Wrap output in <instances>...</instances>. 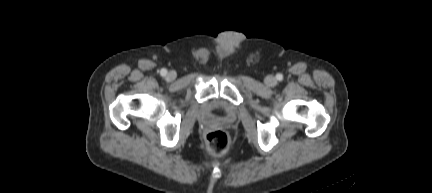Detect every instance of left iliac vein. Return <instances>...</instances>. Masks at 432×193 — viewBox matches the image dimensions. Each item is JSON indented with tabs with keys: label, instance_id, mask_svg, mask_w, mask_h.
<instances>
[{
	"label": "left iliac vein",
	"instance_id": "1",
	"mask_svg": "<svg viewBox=\"0 0 432 193\" xmlns=\"http://www.w3.org/2000/svg\"><path fill=\"white\" fill-rule=\"evenodd\" d=\"M276 78L274 77V76H267L266 78H265V83L268 85V86H274L275 84H276Z\"/></svg>",
	"mask_w": 432,
	"mask_h": 193
}]
</instances>
